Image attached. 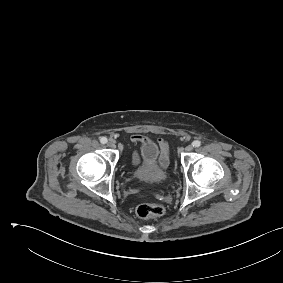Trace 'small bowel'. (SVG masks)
Segmentation results:
<instances>
[{
  "mask_svg": "<svg viewBox=\"0 0 283 283\" xmlns=\"http://www.w3.org/2000/svg\"><path fill=\"white\" fill-rule=\"evenodd\" d=\"M147 141L145 137L138 136L135 138V142L137 145ZM158 148H159V155H158V168L160 171H163L168 163H169V149L168 144L165 140L159 139L158 140ZM139 162V152L135 151L133 155V164L136 165Z\"/></svg>",
  "mask_w": 283,
  "mask_h": 283,
  "instance_id": "obj_1",
  "label": "small bowel"
}]
</instances>
